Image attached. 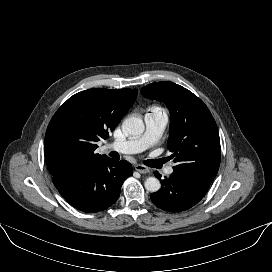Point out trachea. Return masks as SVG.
Segmentation results:
<instances>
[{
	"label": "trachea",
	"instance_id": "1",
	"mask_svg": "<svg viewBox=\"0 0 272 272\" xmlns=\"http://www.w3.org/2000/svg\"><path fill=\"white\" fill-rule=\"evenodd\" d=\"M109 155H110L111 157H113V158H119L118 153L115 152V151L110 152Z\"/></svg>",
	"mask_w": 272,
	"mask_h": 272
}]
</instances>
